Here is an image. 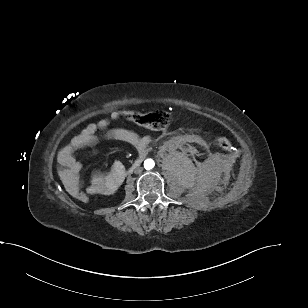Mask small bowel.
<instances>
[{
  "label": "small bowel",
  "mask_w": 308,
  "mask_h": 308,
  "mask_svg": "<svg viewBox=\"0 0 308 308\" xmlns=\"http://www.w3.org/2000/svg\"><path fill=\"white\" fill-rule=\"evenodd\" d=\"M120 115V112L113 111L110 113L109 118H102L97 122L89 123L58 152V162L63 167V177L67 190L71 195L74 196L76 192L82 190L80 181L81 164L74 156V152L79 148L94 145L98 141V131H106L107 138L125 142L139 150H144L152 141L150 136H140L132 130L124 128L108 129L111 121L118 119ZM124 177L125 167L120 161H116L108 173L94 174L85 191L89 195H110L117 190Z\"/></svg>",
  "instance_id": "c3829d8e"
}]
</instances>
